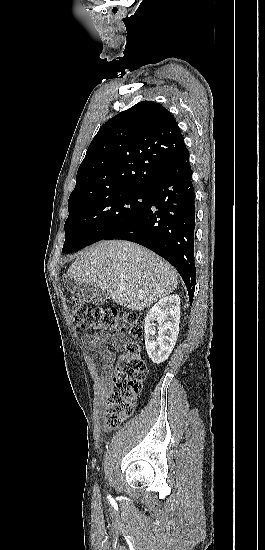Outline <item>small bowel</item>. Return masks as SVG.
I'll return each mask as SVG.
<instances>
[{"instance_id": "1", "label": "small bowel", "mask_w": 265, "mask_h": 550, "mask_svg": "<svg viewBox=\"0 0 265 550\" xmlns=\"http://www.w3.org/2000/svg\"><path fill=\"white\" fill-rule=\"evenodd\" d=\"M82 342L89 350L99 354L104 366L109 367L115 358V353L109 349V346L115 350L121 349L125 343V337L123 335L93 334L84 336ZM94 373L98 382L101 383L103 379L101 373L98 370H95Z\"/></svg>"}]
</instances>
